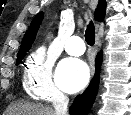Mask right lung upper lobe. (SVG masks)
Wrapping results in <instances>:
<instances>
[{"mask_svg": "<svg viewBox=\"0 0 131 115\" xmlns=\"http://www.w3.org/2000/svg\"><path fill=\"white\" fill-rule=\"evenodd\" d=\"M105 10H106V1L99 0L98 6L94 12V18L96 21H99V22L103 21V18L105 16ZM42 19H43V13L40 12L32 20L22 40V44H21V47L18 53V57L26 53L30 49L33 41L35 40V37H36L37 31L39 29Z\"/></svg>", "mask_w": 131, "mask_h": 115, "instance_id": "cb5924a9", "label": "right lung upper lobe"}]
</instances>
